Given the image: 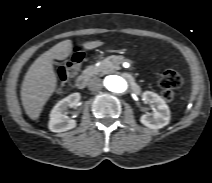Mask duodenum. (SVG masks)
<instances>
[{
  "label": "duodenum",
  "mask_w": 212,
  "mask_h": 183,
  "mask_svg": "<svg viewBox=\"0 0 212 183\" xmlns=\"http://www.w3.org/2000/svg\"><path fill=\"white\" fill-rule=\"evenodd\" d=\"M90 76H91V72L90 71H85L83 72L81 75H79V77L76 79V86L79 88V89H82L84 88L89 79H90Z\"/></svg>",
  "instance_id": "duodenum-1"
}]
</instances>
